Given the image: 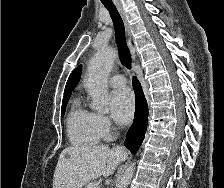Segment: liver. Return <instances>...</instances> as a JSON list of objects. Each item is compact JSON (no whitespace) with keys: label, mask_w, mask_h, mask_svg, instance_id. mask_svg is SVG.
Returning <instances> with one entry per match:
<instances>
[{"label":"liver","mask_w":224,"mask_h":188,"mask_svg":"<svg viewBox=\"0 0 224 188\" xmlns=\"http://www.w3.org/2000/svg\"><path fill=\"white\" fill-rule=\"evenodd\" d=\"M126 159L127 152L122 147H66L61 152L55 168L53 188H82L101 175H112L118 164Z\"/></svg>","instance_id":"1"}]
</instances>
